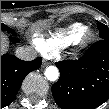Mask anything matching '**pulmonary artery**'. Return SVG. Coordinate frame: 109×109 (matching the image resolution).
<instances>
[{"mask_svg": "<svg viewBox=\"0 0 109 109\" xmlns=\"http://www.w3.org/2000/svg\"><path fill=\"white\" fill-rule=\"evenodd\" d=\"M39 51L41 52V54L45 55V51L43 48H40Z\"/></svg>", "mask_w": 109, "mask_h": 109, "instance_id": "1", "label": "pulmonary artery"}]
</instances>
